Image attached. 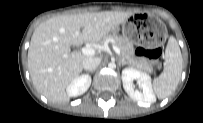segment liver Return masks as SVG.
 Wrapping results in <instances>:
<instances>
[{
    "label": "liver",
    "instance_id": "6515ba94",
    "mask_svg": "<svg viewBox=\"0 0 203 123\" xmlns=\"http://www.w3.org/2000/svg\"><path fill=\"white\" fill-rule=\"evenodd\" d=\"M132 14L104 11L55 16L42 22L28 49V69L35 89L52 103L68 102L67 87L82 72L83 60L92 57L71 52L70 47L99 43Z\"/></svg>",
    "mask_w": 203,
    "mask_h": 123
}]
</instances>
